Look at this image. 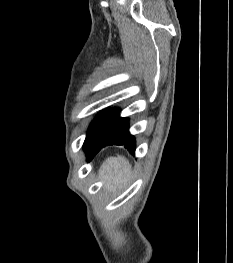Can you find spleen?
<instances>
[{"instance_id":"obj_1","label":"spleen","mask_w":233,"mask_h":263,"mask_svg":"<svg viewBox=\"0 0 233 263\" xmlns=\"http://www.w3.org/2000/svg\"><path fill=\"white\" fill-rule=\"evenodd\" d=\"M130 175L131 165L120 155L107 158L99 170V179L103 180L105 182L104 185L110 187V189L125 185Z\"/></svg>"}]
</instances>
